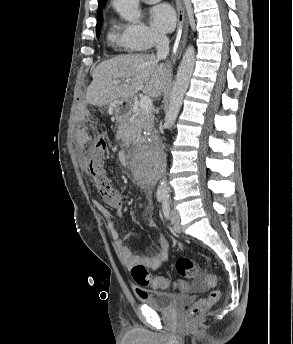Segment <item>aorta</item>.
<instances>
[{
	"label": "aorta",
	"mask_w": 293,
	"mask_h": 344,
	"mask_svg": "<svg viewBox=\"0 0 293 344\" xmlns=\"http://www.w3.org/2000/svg\"><path fill=\"white\" fill-rule=\"evenodd\" d=\"M114 7L117 13L126 21L133 22L140 18L139 0H115ZM195 64V49L188 46L177 70L176 80L170 93L168 109L165 113V125L171 129L180 112L184 95L189 87ZM168 183L163 179L157 189L159 196H167Z\"/></svg>",
	"instance_id": "aorta-1"
}]
</instances>
